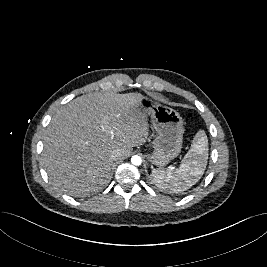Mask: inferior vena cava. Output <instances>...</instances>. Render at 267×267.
<instances>
[{
	"label": "inferior vena cava",
	"mask_w": 267,
	"mask_h": 267,
	"mask_svg": "<svg viewBox=\"0 0 267 267\" xmlns=\"http://www.w3.org/2000/svg\"><path fill=\"white\" fill-rule=\"evenodd\" d=\"M121 152L119 150H113L111 153V159L113 161L120 160L121 159Z\"/></svg>",
	"instance_id": "obj_1"
}]
</instances>
